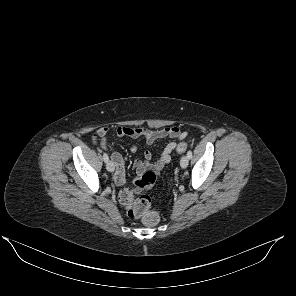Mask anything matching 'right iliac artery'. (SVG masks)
<instances>
[{
  "label": "right iliac artery",
  "instance_id": "1",
  "mask_svg": "<svg viewBox=\"0 0 296 296\" xmlns=\"http://www.w3.org/2000/svg\"><path fill=\"white\" fill-rule=\"evenodd\" d=\"M103 159H104L105 162H108L109 157H108V155L106 153L103 154Z\"/></svg>",
  "mask_w": 296,
  "mask_h": 296
}]
</instances>
